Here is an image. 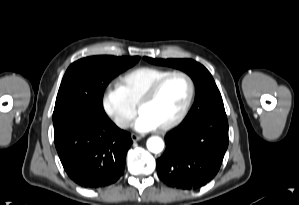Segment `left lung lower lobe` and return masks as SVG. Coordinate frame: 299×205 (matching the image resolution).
Returning <instances> with one entry per match:
<instances>
[{
  "mask_svg": "<svg viewBox=\"0 0 299 205\" xmlns=\"http://www.w3.org/2000/svg\"><path fill=\"white\" fill-rule=\"evenodd\" d=\"M166 150L157 159L159 178L177 189H198L217 174L228 147L224 109L201 118L184 119L165 138Z\"/></svg>",
  "mask_w": 299,
  "mask_h": 205,
  "instance_id": "0a47b994",
  "label": "left lung lower lobe"
}]
</instances>
